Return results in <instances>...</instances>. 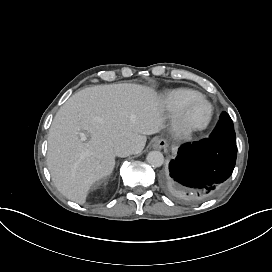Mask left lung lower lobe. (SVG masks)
I'll list each match as a JSON object with an SVG mask.
<instances>
[{
  "label": "left lung lower lobe",
  "instance_id": "1",
  "mask_svg": "<svg viewBox=\"0 0 272 272\" xmlns=\"http://www.w3.org/2000/svg\"><path fill=\"white\" fill-rule=\"evenodd\" d=\"M236 157V144L217 139L208 138L183 145L176 159L170 162L169 172L163 175V187L182 202L205 200L226 185Z\"/></svg>",
  "mask_w": 272,
  "mask_h": 272
}]
</instances>
